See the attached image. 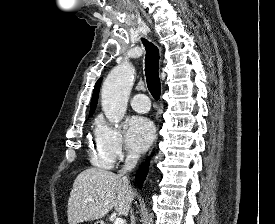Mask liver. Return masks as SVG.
<instances>
[{"mask_svg": "<svg viewBox=\"0 0 275 224\" xmlns=\"http://www.w3.org/2000/svg\"><path fill=\"white\" fill-rule=\"evenodd\" d=\"M134 192L120 175L110 171L90 168L75 179L68 200L69 224L103 218L112 208L127 216Z\"/></svg>", "mask_w": 275, "mask_h": 224, "instance_id": "1", "label": "liver"}]
</instances>
